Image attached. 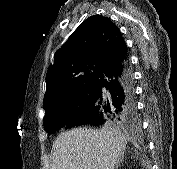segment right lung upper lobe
Masks as SVG:
<instances>
[{"label":"right lung upper lobe","instance_id":"1","mask_svg":"<svg viewBox=\"0 0 177 169\" xmlns=\"http://www.w3.org/2000/svg\"><path fill=\"white\" fill-rule=\"evenodd\" d=\"M127 55L119 28L107 17L90 16L55 53L46 74L43 108L95 81L105 68Z\"/></svg>","mask_w":177,"mask_h":169}]
</instances>
